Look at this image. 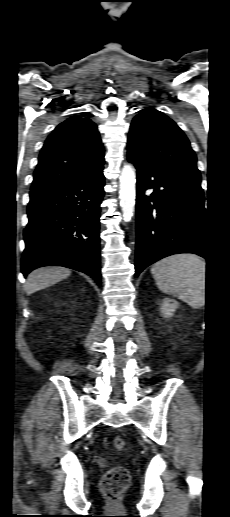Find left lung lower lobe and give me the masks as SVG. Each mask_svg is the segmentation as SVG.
<instances>
[{
  "label": "left lung lower lobe",
  "mask_w": 230,
  "mask_h": 517,
  "mask_svg": "<svg viewBox=\"0 0 230 517\" xmlns=\"http://www.w3.org/2000/svg\"><path fill=\"white\" fill-rule=\"evenodd\" d=\"M137 170L135 277L173 254L195 253L208 260L201 178L155 167L128 155Z\"/></svg>",
  "instance_id": "0a47b994"
}]
</instances>
